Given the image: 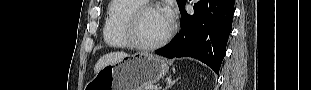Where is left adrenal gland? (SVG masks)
<instances>
[{"mask_svg":"<svg viewBox=\"0 0 311 90\" xmlns=\"http://www.w3.org/2000/svg\"><path fill=\"white\" fill-rule=\"evenodd\" d=\"M178 80L179 78H177L176 80H172L171 76L166 78L167 86L165 87L164 90H168L169 88H171L173 84H175Z\"/></svg>","mask_w":311,"mask_h":90,"instance_id":"a2214340","label":"left adrenal gland"}]
</instances>
